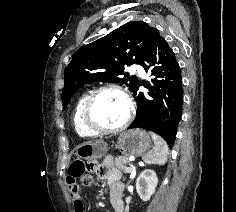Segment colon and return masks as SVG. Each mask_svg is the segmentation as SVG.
<instances>
[{"mask_svg":"<svg viewBox=\"0 0 236 212\" xmlns=\"http://www.w3.org/2000/svg\"><path fill=\"white\" fill-rule=\"evenodd\" d=\"M71 175H78L84 186H91L95 180V168L93 164L75 162L70 171Z\"/></svg>","mask_w":236,"mask_h":212,"instance_id":"colon-1","label":"colon"}]
</instances>
